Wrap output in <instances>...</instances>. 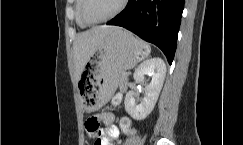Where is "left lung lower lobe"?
Returning <instances> with one entry per match:
<instances>
[{
	"mask_svg": "<svg viewBox=\"0 0 243 145\" xmlns=\"http://www.w3.org/2000/svg\"><path fill=\"white\" fill-rule=\"evenodd\" d=\"M184 0H129L125 9L110 20L158 46L172 63Z\"/></svg>",
	"mask_w": 243,
	"mask_h": 145,
	"instance_id": "0a47b994",
	"label": "left lung lower lobe"
}]
</instances>
